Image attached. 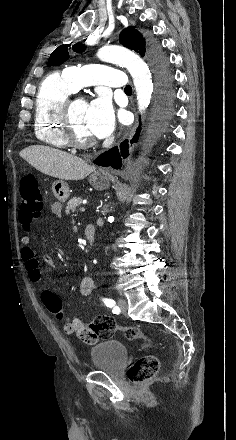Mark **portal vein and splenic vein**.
<instances>
[{
	"label": "portal vein and splenic vein",
	"instance_id": "portal-vein-and-splenic-vein-1",
	"mask_svg": "<svg viewBox=\"0 0 236 440\" xmlns=\"http://www.w3.org/2000/svg\"><path fill=\"white\" fill-rule=\"evenodd\" d=\"M80 211H81V212H84V211H85V208H84V207H81V208H80Z\"/></svg>",
	"mask_w": 236,
	"mask_h": 440
}]
</instances>
